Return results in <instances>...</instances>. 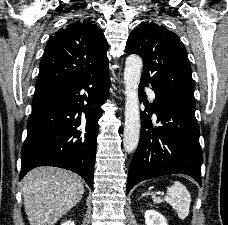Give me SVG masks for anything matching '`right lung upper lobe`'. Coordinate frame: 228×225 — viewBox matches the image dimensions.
I'll list each match as a JSON object with an SVG mask.
<instances>
[{"label":"right lung upper lobe","mask_w":228,"mask_h":225,"mask_svg":"<svg viewBox=\"0 0 228 225\" xmlns=\"http://www.w3.org/2000/svg\"><path fill=\"white\" fill-rule=\"evenodd\" d=\"M108 43L90 20H78L60 29L45 47L36 90L75 83L108 67Z\"/></svg>","instance_id":"cb5924a9"}]
</instances>
